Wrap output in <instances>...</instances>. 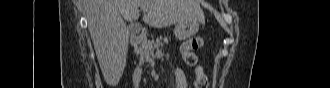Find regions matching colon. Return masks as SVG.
Masks as SVG:
<instances>
[{
  "instance_id": "colon-1",
  "label": "colon",
  "mask_w": 330,
  "mask_h": 88,
  "mask_svg": "<svg viewBox=\"0 0 330 88\" xmlns=\"http://www.w3.org/2000/svg\"><path fill=\"white\" fill-rule=\"evenodd\" d=\"M203 40L200 37H192L186 40L181 52L185 63L194 70L196 81V88H208V78L203 70V67L198 63L196 51L202 46Z\"/></svg>"
}]
</instances>
